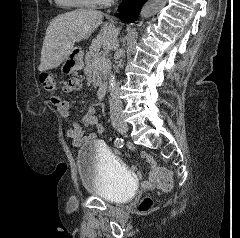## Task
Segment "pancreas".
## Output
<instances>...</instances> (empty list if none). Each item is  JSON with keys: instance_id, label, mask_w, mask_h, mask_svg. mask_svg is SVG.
Masks as SVG:
<instances>
[{"instance_id": "1", "label": "pancreas", "mask_w": 240, "mask_h": 238, "mask_svg": "<svg viewBox=\"0 0 240 238\" xmlns=\"http://www.w3.org/2000/svg\"><path fill=\"white\" fill-rule=\"evenodd\" d=\"M105 60V64L97 62V59ZM85 69L84 72L87 75V80L89 83L97 88L106 79L107 73L110 68V62L108 59L103 57L100 53L93 51H88L85 55Z\"/></svg>"}]
</instances>
